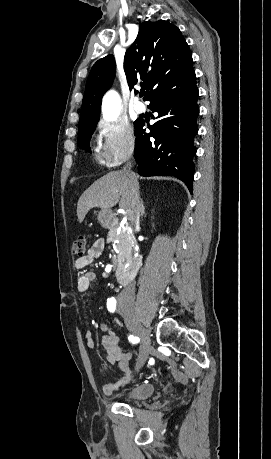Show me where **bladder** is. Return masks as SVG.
<instances>
[{"label":"bladder","instance_id":"31cf9c89","mask_svg":"<svg viewBox=\"0 0 271 459\" xmlns=\"http://www.w3.org/2000/svg\"><path fill=\"white\" fill-rule=\"evenodd\" d=\"M155 392V386L149 383H139L127 390L126 403L132 404L143 400Z\"/></svg>","mask_w":271,"mask_h":459}]
</instances>
